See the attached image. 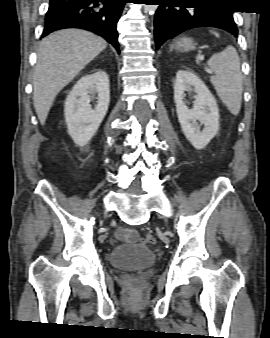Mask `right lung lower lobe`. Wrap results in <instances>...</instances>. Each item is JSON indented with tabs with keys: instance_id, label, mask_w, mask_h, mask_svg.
I'll return each instance as SVG.
<instances>
[{
	"instance_id": "obj_1",
	"label": "right lung lower lobe",
	"mask_w": 270,
	"mask_h": 338,
	"mask_svg": "<svg viewBox=\"0 0 270 338\" xmlns=\"http://www.w3.org/2000/svg\"><path fill=\"white\" fill-rule=\"evenodd\" d=\"M127 0H50L41 37L63 28H81L104 37L119 51L116 24Z\"/></svg>"
}]
</instances>
